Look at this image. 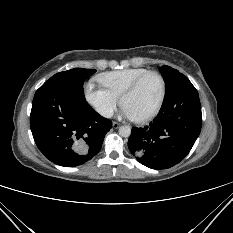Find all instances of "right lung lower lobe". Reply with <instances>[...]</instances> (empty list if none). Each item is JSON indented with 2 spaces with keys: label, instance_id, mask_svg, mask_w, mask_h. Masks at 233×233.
I'll return each mask as SVG.
<instances>
[{
  "label": "right lung lower lobe",
  "instance_id": "98d812e1",
  "mask_svg": "<svg viewBox=\"0 0 233 233\" xmlns=\"http://www.w3.org/2000/svg\"><path fill=\"white\" fill-rule=\"evenodd\" d=\"M30 123L39 150L64 167L81 165L95 156L112 127L86 102L83 89L48 81L35 93Z\"/></svg>",
  "mask_w": 233,
  "mask_h": 233
}]
</instances>
